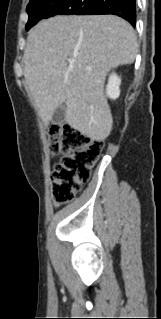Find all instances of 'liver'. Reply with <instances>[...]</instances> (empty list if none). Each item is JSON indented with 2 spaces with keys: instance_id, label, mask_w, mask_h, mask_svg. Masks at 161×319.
I'll use <instances>...</instances> for the list:
<instances>
[{
  "instance_id": "6515ba94",
  "label": "liver",
  "mask_w": 161,
  "mask_h": 319,
  "mask_svg": "<svg viewBox=\"0 0 161 319\" xmlns=\"http://www.w3.org/2000/svg\"><path fill=\"white\" fill-rule=\"evenodd\" d=\"M137 52L132 26L114 15L40 21L27 38L24 77L42 121L49 123L65 104L68 125L92 140H105L113 124L103 92L106 75L133 63Z\"/></svg>"
}]
</instances>
